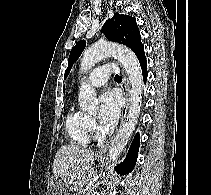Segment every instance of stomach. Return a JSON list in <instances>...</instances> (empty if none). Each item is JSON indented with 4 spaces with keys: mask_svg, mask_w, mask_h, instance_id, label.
I'll use <instances>...</instances> for the list:
<instances>
[{
    "mask_svg": "<svg viewBox=\"0 0 211 195\" xmlns=\"http://www.w3.org/2000/svg\"><path fill=\"white\" fill-rule=\"evenodd\" d=\"M99 160V159H98ZM54 179H56V184H54ZM53 179V184L57 187V188H62L63 186H65V183L60 179L55 177ZM57 195H62L61 191H57Z\"/></svg>",
    "mask_w": 211,
    "mask_h": 195,
    "instance_id": "0dacf381",
    "label": "stomach"
}]
</instances>
